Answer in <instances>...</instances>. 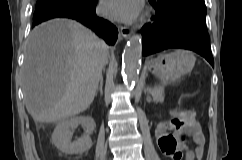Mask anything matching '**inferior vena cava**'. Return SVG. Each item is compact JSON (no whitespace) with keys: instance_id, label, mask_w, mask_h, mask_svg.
Instances as JSON below:
<instances>
[{"instance_id":"602c4592","label":"inferior vena cava","mask_w":242,"mask_h":160,"mask_svg":"<svg viewBox=\"0 0 242 160\" xmlns=\"http://www.w3.org/2000/svg\"><path fill=\"white\" fill-rule=\"evenodd\" d=\"M102 72H103V73H107V72H108V69H107V68H103V69H102ZM109 72H110V73H114V72H115V69H114V68H110V69H109Z\"/></svg>"}]
</instances>
